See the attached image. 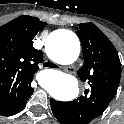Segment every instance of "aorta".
<instances>
[{
    "mask_svg": "<svg viewBox=\"0 0 124 124\" xmlns=\"http://www.w3.org/2000/svg\"><path fill=\"white\" fill-rule=\"evenodd\" d=\"M47 53L58 63H73L80 53L79 39L69 30H60L48 41ZM39 82L53 98L59 101H71L79 94L76 78L61 71H45Z\"/></svg>",
    "mask_w": 124,
    "mask_h": 124,
    "instance_id": "762f6f07",
    "label": "aorta"
}]
</instances>
